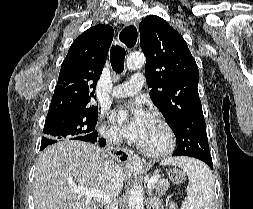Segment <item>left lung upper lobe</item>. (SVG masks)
<instances>
[{
    "label": "left lung upper lobe",
    "mask_w": 253,
    "mask_h": 209,
    "mask_svg": "<svg viewBox=\"0 0 253 209\" xmlns=\"http://www.w3.org/2000/svg\"><path fill=\"white\" fill-rule=\"evenodd\" d=\"M150 97L172 129L179 156H210L198 94V66L183 37L159 16L140 24Z\"/></svg>",
    "instance_id": "left-lung-upper-lobe-1"
}]
</instances>
